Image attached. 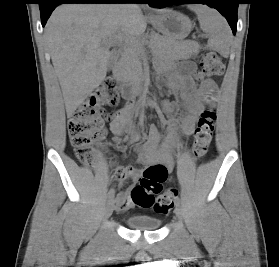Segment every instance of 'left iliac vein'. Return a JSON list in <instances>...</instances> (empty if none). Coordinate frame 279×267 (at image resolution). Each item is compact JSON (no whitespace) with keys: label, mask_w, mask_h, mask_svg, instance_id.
I'll list each match as a JSON object with an SVG mask.
<instances>
[{"label":"left iliac vein","mask_w":279,"mask_h":267,"mask_svg":"<svg viewBox=\"0 0 279 267\" xmlns=\"http://www.w3.org/2000/svg\"><path fill=\"white\" fill-rule=\"evenodd\" d=\"M175 214L178 217V219L182 220L183 213H182V209L180 208V205H176Z\"/></svg>","instance_id":"left-iliac-vein-1"}]
</instances>
